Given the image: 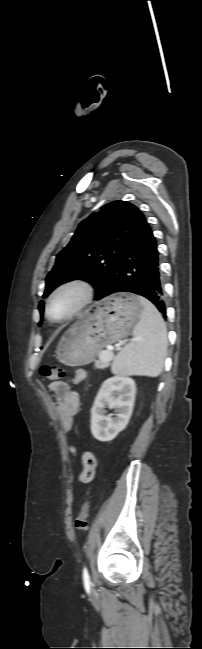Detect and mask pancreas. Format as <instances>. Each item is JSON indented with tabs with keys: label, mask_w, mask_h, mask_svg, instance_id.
I'll return each instance as SVG.
<instances>
[{
	"label": "pancreas",
	"mask_w": 202,
	"mask_h": 649,
	"mask_svg": "<svg viewBox=\"0 0 202 649\" xmlns=\"http://www.w3.org/2000/svg\"><path fill=\"white\" fill-rule=\"evenodd\" d=\"M105 351H106L107 354L113 355V352H112L111 350H105ZM103 352H104V351H101V352L99 353V357H100V355H101ZM99 359H100V358H99ZM109 366H110V362H109V361H102V360H99V361H96V362H95V368H98V369H104V368H107V367H109Z\"/></svg>",
	"instance_id": "pancreas-1"
}]
</instances>
